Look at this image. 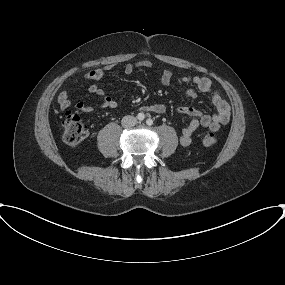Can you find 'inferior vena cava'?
<instances>
[{"instance_id": "obj_1", "label": "inferior vena cava", "mask_w": 285, "mask_h": 285, "mask_svg": "<svg viewBox=\"0 0 285 285\" xmlns=\"http://www.w3.org/2000/svg\"><path fill=\"white\" fill-rule=\"evenodd\" d=\"M121 124L125 128L133 127L136 124V118L130 115L124 116L122 118Z\"/></svg>"}]
</instances>
